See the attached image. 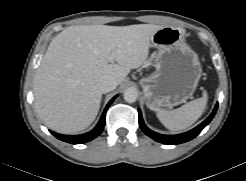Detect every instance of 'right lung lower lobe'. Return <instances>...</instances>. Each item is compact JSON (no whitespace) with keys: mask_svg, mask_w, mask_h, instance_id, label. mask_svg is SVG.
Here are the masks:
<instances>
[{"mask_svg":"<svg viewBox=\"0 0 246 181\" xmlns=\"http://www.w3.org/2000/svg\"><path fill=\"white\" fill-rule=\"evenodd\" d=\"M115 98L116 96L112 98V100L108 103V105L106 106V109L104 110L102 114L100 121L98 122V124L92 131L85 133V134H81V135H62V134H58L53 131H50V133L53 134L56 138L62 141L71 143V144H82V143H85V142H88L94 139L102 132L104 125H105L106 110Z\"/></svg>","mask_w":246,"mask_h":181,"instance_id":"98d812e1","label":"right lung lower lobe"}]
</instances>
